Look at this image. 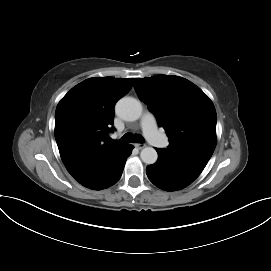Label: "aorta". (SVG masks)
<instances>
[{
    "label": "aorta",
    "instance_id": "762f6f07",
    "mask_svg": "<svg viewBox=\"0 0 271 271\" xmlns=\"http://www.w3.org/2000/svg\"><path fill=\"white\" fill-rule=\"evenodd\" d=\"M116 113L127 121L138 120L142 115V105L133 97H123L116 104ZM141 160L146 164H154L158 154L152 147H145L140 153Z\"/></svg>",
    "mask_w": 271,
    "mask_h": 271
}]
</instances>
